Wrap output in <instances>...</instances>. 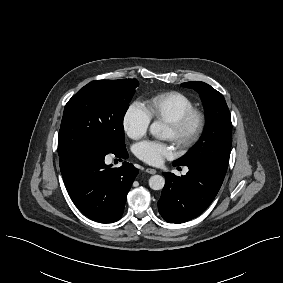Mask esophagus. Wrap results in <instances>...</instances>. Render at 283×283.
Wrapping results in <instances>:
<instances>
[{
  "label": "esophagus",
  "instance_id": "obj_1",
  "mask_svg": "<svg viewBox=\"0 0 283 283\" xmlns=\"http://www.w3.org/2000/svg\"><path fill=\"white\" fill-rule=\"evenodd\" d=\"M146 172L149 173V174H156L157 173L156 169H154V168H147Z\"/></svg>",
  "mask_w": 283,
  "mask_h": 283
}]
</instances>
